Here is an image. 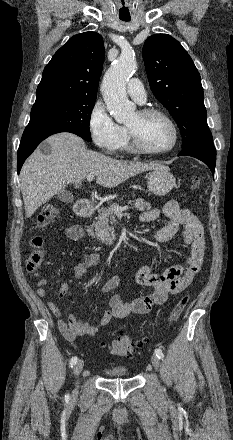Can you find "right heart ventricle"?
I'll use <instances>...</instances> for the list:
<instances>
[{"mask_svg":"<svg viewBox=\"0 0 233 440\" xmlns=\"http://www.w3.org/2000/svg\"><path fill=\"white\" fill-rule=\"evenodd\" d=\"M120 149L122 151H127V152H132L133 151V148H132V145H131V142H130V138H129L127 132L125 134V138H124V141L122 142V145H121Z\"/></svg>","mask_w":233,"mask_h":440,"instance_id":"obj_1","label":"right heart ventricle"}]
</instances>
